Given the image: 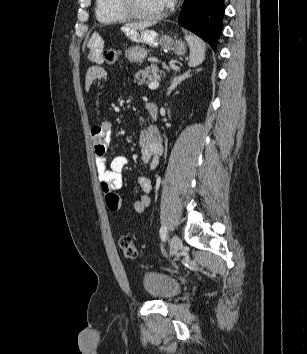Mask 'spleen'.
Instances as JSON below:
<instances>
[{
	"label": "spleen",
	"mask_w": 307,
	"mask_h": 354,
	"mask_svg": "<svg viewBox=\"0 0 307 354\" xmlns=\"http://www.w3.org/2000/svg\"><path fill=\"white\" fill-rule=\"evenodd\" d=\"M187 42L190 47L188 65L190 67H196L205 59L206 45L204 41L194 35L187 36Z\"/></svg>",
	"instance_id": "spleen-1"
}]
</instances>
